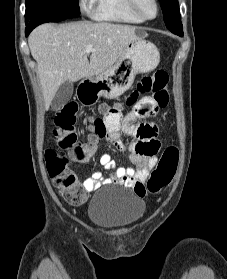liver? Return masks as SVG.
<instances>
[{
  "instance_id": "liver-1",
  "label": "liver",
  "mask_w": 227,
  "mask_h": 279,
  "mask_svg": "<svg viewBox=\"0 0 227 279\" xmlns=\"http://www.w3.org/2000/svg\"><path fill=\"white\" fill-rule=\"evenodd\" d=\"M136 27L88 21L35 28L28 38L31 55L37 62L45 110L65 82L98 76L114 63L124 49L138 38ZM92 45L90 60L86 47Z\"/></svg>"
}]
</instances>
